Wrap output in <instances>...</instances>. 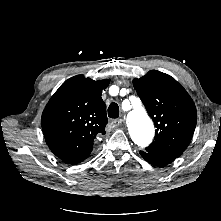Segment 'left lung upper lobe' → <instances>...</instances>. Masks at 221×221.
I'll list each match as a JSON object with an SVG mask.
<instances>
[{
	"label": "left lung upper lobe",
	"instance_id": "5c2ea615",
	"mask_svg": "<svg viewBox=\"0 0 221 221\" xmlns=\"http://www.w3.org/2000/svg\"><path fill=\"white\" fill-rule=\"evenodd\" d=\"M133 86L157 128L146 152L179 157L196 127L197 113L191 97L174 78L156 70L134 79Z\"/></svg>",
	"mask_w": 221,
	"mask_h": 221
}]
</instances>
